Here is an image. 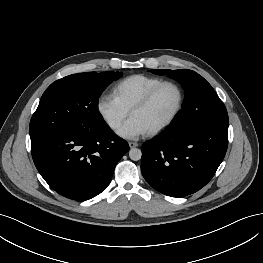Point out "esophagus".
I'll return each instance as SVG.
<instances>
[{
  "instance_id": "esophagus-1",
  "label": "esophagus",
  "mask_w": 263,
  "mask_h": 263,
  "mask_svg": "<svg viewBox=\"0 0 263 263\" xmlns=\"http://www.w3.org/2000/svg\"><path fill=\"white\" fill-rule=\"evenodd\" d=\"M129 147L130 148H134V147H137L138 146V143L137 142H129Z\"/></svg>"
}]
</instances>
